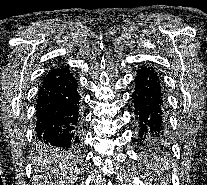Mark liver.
Instances as JSON below:
<instances>
[{"instance_id":"1","label":"liver","mask_w":207,"mask_h":185,"mask_svg":"<svg viewBox=\"0 0 207 185\" xmlns=\"http://www.w3.org/2000/svg\"><path fill=\"white\" fill-rule=\"evenodd\" d=\"M48 157H54V159H61L60 161V165L61 167H64V165H66V161H68L69 157H66L64 151H57V149H54L52 155H50V153H43L42 157H34L33 159V163L34 165H39L40 169H39V173H41V175H45L48 167ZM62 157H64V159H62ZM45 163V165H44ZM72 165V163H71ZM73 165H75V163H73ZM73 171H75V169H67V173L68 175H70V173H72V175H74ZM53 173V171H52ZM52 173H50V175H47V177H49V179H51V175ZM54 173H58V171H54ZM48 183H50V185H55V183H53V181H48ZM59 183V181H58ZM63 183H65V181H63ZM67 183V181H66ZM68 185V183H67Z\"/></svg>"}]
</instances>
